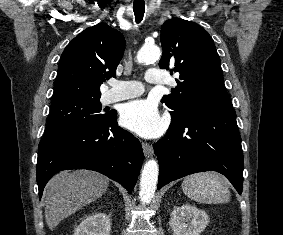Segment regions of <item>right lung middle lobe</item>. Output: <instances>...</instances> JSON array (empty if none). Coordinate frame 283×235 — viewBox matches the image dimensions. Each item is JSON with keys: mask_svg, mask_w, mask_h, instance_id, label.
Segmentation results:
<instances>
[{"mask_svg": "<svg viewBox=\"0 0 283 235\" xmlns=\"http://www.w3.org/2000/svg\"><path fill=\"white\" fill-rule=\"evenodd\" d=\"M101 112L100 97H72L53 102L43 138H51L68 130L92 125L106 118Z\"/></svg>", "mask_w": 283, "mask_h": 235, "instance_id": "dd1d6c3e", "label": "right lung middle lobe"}]
</instances>
